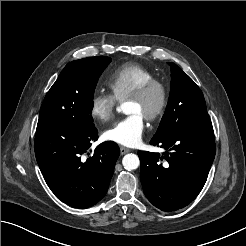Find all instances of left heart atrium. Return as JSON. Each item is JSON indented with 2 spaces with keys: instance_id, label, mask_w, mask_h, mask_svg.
Wrapping results in <instances>:
<instances>
[{
  "instance_id": "left-heart-atrium-1",
  "label": "left heart atrium",
  "mask_w": 246,
  "mask_h": 246,
  "mask_svg": "<svg viewBox=\"0 0 246 246\" xmlns=\"http://www.w3.org/2000/svg\"><path fill=\"white\" fill-rule=\"evenodd\" d=\"M144 119L139 113H131L104 132L105 139L117 144L134 147L142 139Z\"/></svg>"
}]
</instances>
